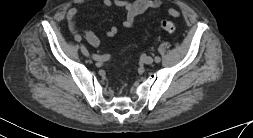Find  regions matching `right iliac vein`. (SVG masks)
<instances>
[{"instance_id":"right-iliac-vein-1","label":"right iliac vein","mask_w":253,"mask_h":138,"mask_svg":"<svg viewBox=\"0 0 253 138\" xmlns=\"http://www.w3.org/2000/svg\"><path fill=\"white\" fill-rule=\"evenodd\" d=\"M80 49L85 56H88V50L83 44L81 45Z\"/></svg>"}]
</instances>
